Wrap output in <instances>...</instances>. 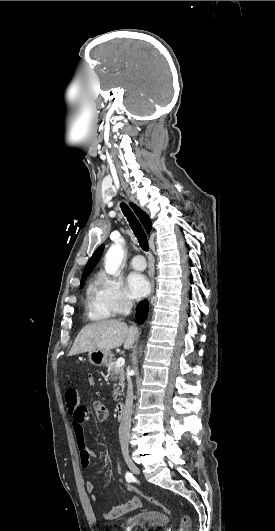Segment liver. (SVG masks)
<instances>
[{"instance_id":"1","label":"liver","mask_w":275,"mask_h":531,"mask_svg":"<svg viewBox=\"0 0 275 531\" xmlns=\"http://www.w3.org/2000/svg\"><path fill=\"white\" fill-rule=\"evenodd\" d=\"M136 327H127L121 321H95L81 329L77 335L69 355L89 353L93 349H117L123 345L124 349H131L137 337Z\"/></svg>"}]
</instances>
